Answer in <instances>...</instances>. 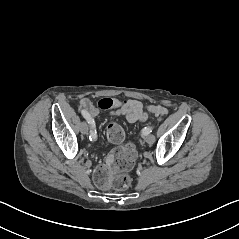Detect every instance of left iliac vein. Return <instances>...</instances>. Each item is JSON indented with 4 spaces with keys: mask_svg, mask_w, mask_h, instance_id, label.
Returning a JSON list of instances; mask_svg holds the SVG:
<instances>
[{
    "mask_svg": "<svg viewBox=\"0 0 239 239\" xmlns=\"http://www.w3.org/2000/svg\"><path fill=\"white\" fill-rule=\"evenodd\" d=\"M145 140L148 144H153L155 142V136L150 134V135L146 136Z\"/></svg>",
    "mask_w": 239,
    "mask_h": 239,
    "instance_id": "obj_1",
    "label": "left iliac vein"
}]
</instances>
